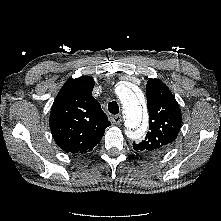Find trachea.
Wrapping results in <instances>:
<instances>
[{
  "instance_id": "3493384b",
  "label": "trachea",
  "mask_w": 221,
  "mask_h": 221,
  "mask_svg": "<svg viewBox=\"0 0 221 221\" xmlns=\"http://www.w3.org/2000/svg\"><path fill=\"white\" fill-rule=\"evenodd\" d=\"M108 110L111 114H118L119 113V106L116 101H112L108 104Z\"/></svg>"
}]
</instances>
